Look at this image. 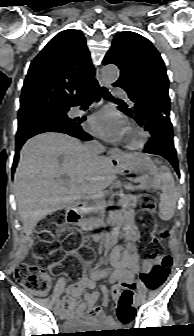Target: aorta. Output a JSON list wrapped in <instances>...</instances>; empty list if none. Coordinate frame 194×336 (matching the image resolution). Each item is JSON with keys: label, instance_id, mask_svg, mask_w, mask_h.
<instances>
[{"label": "aorta", "instance_id": "aorta-1", "mask_svg": "<svg viewBox=\"0 0 194 336\" xmlns=\"http://www.w3.org/2000/svg\"><path fill=\"white\" fill-rule=\"evenodd\" d=\"M101 76L106 82H115L119 77L118 67L115 65L104 66L101 70Z\"/></svg>", "mask_w": 194, "mask_h": 336}]
</instances>
